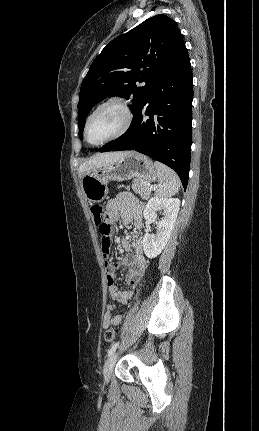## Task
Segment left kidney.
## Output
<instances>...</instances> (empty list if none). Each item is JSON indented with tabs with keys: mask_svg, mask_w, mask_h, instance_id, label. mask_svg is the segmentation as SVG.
<instances>
[{
	"mask_svg": "<svg viewBox=\"0 0 259 431\" xmlns=\"http://www.w3.org/2000/svg\"><path fill=\"white\" fill-rule=\"evenodd\" d=\"M180 200L178 198H151L144 209V218L153 221L157 211H163V217L156 222V234L146 233L143 237V250L148 258L157 257L170 239L176 218L179 212Z\"/></svg>",
	"mask_w": 259,
	"mask_h": 431,
	"instance_id": "5707ae66",
	"label": "left kidney"
}]
</instances>
